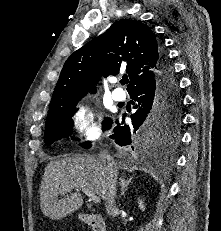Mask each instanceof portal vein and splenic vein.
<instances>
[{
	"instance_id": "1",
	"label": "portal vein and splenic vein",
	"mask_w": 221,
	"mask_h": 231,
	"mask_svg": "<svg viewBox=\"0 0 221 231\" xmlns=\"http://www.w3.org/2000/svg\"><path fill=\"white\" fill-rule=\"evenodd\" d=\"M82 192L86 194L89 197V200L92 201L93 203H100V197L97 196L96 194L92 193L90 190L87 188H82Z\"/></svg>"
}]
</instances>
